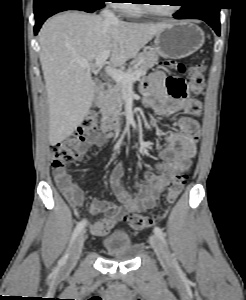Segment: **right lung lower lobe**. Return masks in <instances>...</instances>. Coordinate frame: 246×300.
I'll use <instances>...</instances> for the list:
<instances>
[{"label":"right lung lower lobe","instance_id":"98d812e1","mask_svg":"<svg viewBox=\"0 0 246 300\" xmlns=\"http://www.w3.org/2000/svg\"><path fill=\"white\" fill-rule=\"evenodd\" d=\"M100 8L102 6L96 4L94 0H40L34 3V32L37 34L44 21L58 12L65 10L95 12Z\"/></svg>","mask_w":246,"mask_h":300}]
</instances>
